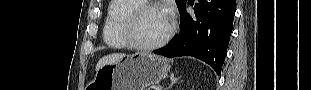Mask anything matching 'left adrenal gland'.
<instances>
[{
	"mask_svg": "<svg viewBox=\"0 0 311 90\" xmlns=\"http://www.w3.org/2000/svg\"><path fill=\"white\" fill-rule=\"evenodd\" d=\"M180 77L176 78L174 76V74H172L170 76V80H171V84L165 89V90H169V88H171L173 86V84H175L178 80H179Z\"/></svg>",
	"mask_w": 311,
	"mask_h": 90,
	"instance_id": "obj_1",
	"label": "left adrenal gland"
}]
</instances>
